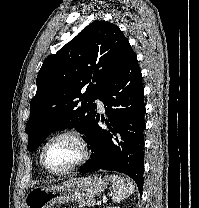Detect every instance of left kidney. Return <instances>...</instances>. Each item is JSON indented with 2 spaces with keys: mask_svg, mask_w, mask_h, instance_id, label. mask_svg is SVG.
<instances>
[{
  "mask_svg": "<svg viewBox=\"0 0 199 208\" xmlns=\"http://www.w3.org/2000/svg\"><path fill=\"white\" fill-rule=\"evenodd\" d=\"M107 208H120L119 206H114V207H107Z\"/></svg>",
  "mask_w": 199,
  "mask_h": 208,
  "instance_id": "5707ae66",
  "label": "left kidney"
}]
</instances>
